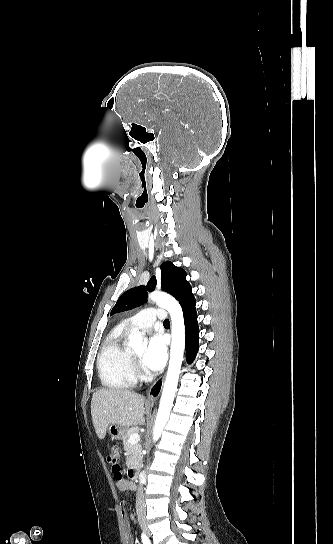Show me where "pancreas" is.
<instances>
[{
	"mask_svg": "<svg viewBox=\"0 0 333 544\" xmlns=\"http://www.w3.org/2000/svg\"><path fill=\"white\" fill-rule=\"evenodd\" d=\"M138 432V427H132L130 429H126L122 440L124 449L127 452V459L126 464L127 466L133 465V463L138 462L141 457V445L139 443H135L134 445H130L129 438L133 433Z\"/></svg>",
	"mask_w": 333,
	"mask_h": 544,
	"instance_id": "1",
	"label": "pancreas"
}]
</instances>
